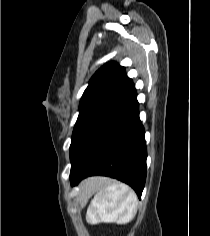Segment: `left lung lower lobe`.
Segmentation results:
<instances>
[{
    "label": "left lung lower lobe",
    "mask_w": 210,
    "mask_h": 236,
    "mask_svg": "<svg viewBox=\"0 0 210 236\" xmlns=\"http://www.w3.org/2000/svg\"><path fill=\"white\" fill-rule=\"evenodd\" d=\"M134 84L91 121L70 147L71 185L104 175L129 184L141 197L147 150Z\"/></svg>",
    "instance_id": "1"
}]
</instances>
